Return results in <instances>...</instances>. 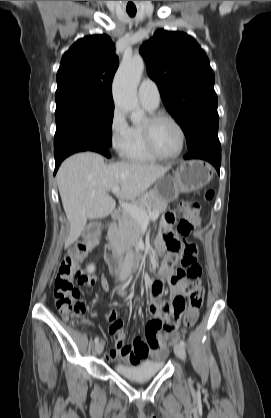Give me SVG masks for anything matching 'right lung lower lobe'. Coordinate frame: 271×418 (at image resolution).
Segmentation results:
<instances>
[{
    "label": "right lung lower lobe",
    "instance_id": "obj_1",
    "mask_svg": "<svg viewBox=\"0 0 271 418\" xmlns=\"http://www.w3.org/2000/svg\"><path fill=\"white\" fill-rule=\"evenodd\" d=\"M110 145L106 139L101 137L90 138L82 141H77L73 143H68L54 149L55 157V171L59 168L61 162L68 157L69 155L81 151H95L103 154L106 157H110L108 152V147Z\"/></svg>",
    "mask_w": 271,
    "mask_h": 418
}]
</instances>
